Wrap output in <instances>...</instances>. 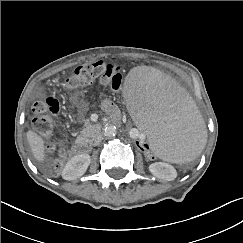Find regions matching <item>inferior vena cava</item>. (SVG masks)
<instances>
[{"mask_svg":"<svg viewBox=\"0 0 243 243\" xmlns=\"http://www.w3.org/2000/svg\"><path fill=\"white\" fill-rule=\"evenodd\" d=\"M102 139H103V134H98L92 140V143L91 144L94 145V146H98L101 143Z\"/></svg>","mask_w":243,"mask_h":243,"instance_id":"1","label":"inferior vena cava"}]
</instances>
